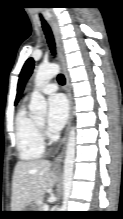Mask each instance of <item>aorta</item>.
Masks as SVG:
<instances>
[{"mask_svg": "<svg viewBox=\"0 0 123 219\" xmlns=\"http://www.w3.org/2000/svg\"><path fill=\"white\" fill-rule=\"evenodd\" d=\"M60 71L57 64L40 65L35 75V90L31 96L29 109L31 113L37 117H43L47 111V103L44 96L39 92V88L46 82L55 77ZM75 146H76V132L75 127H72L69 133L66 144V152L64 159V174H63V189L64 199L68 200L73 180V169L75 161Z\"/></svg>", "mask_w": 123, "mask_h": 219, "instance_id": "aorta-1", "label": "aorta"}]
</instances>
